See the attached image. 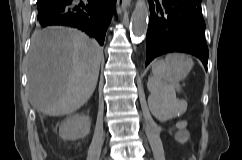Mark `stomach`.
<instances>
[{
    "mask_svg": "<svg viewBox=\"0 0 242 160\" xmlns=\"http://www.w3.org/2000/svg\"><path fill=\"white\" fill-rule=\"evenodd\" d=\"M192 67L191 59L185 55L181 57V69H180V77L184 78Z\"/></svg>",
    "mask_w": 242,
    "mask_h": 160,
    "instance_id": "obj_1",
    "label": "stomach"
}]
</instances>
